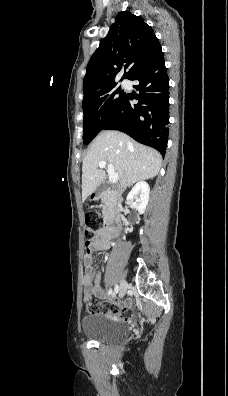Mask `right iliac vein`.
<instances>
[{
	"label": "right iliac vein",
	"instance_id": "1",
	"mask_svg": "<svg viewBox=\"0 0 228 396\" xmlns=\"http://www.w3.org/2000/svg\"><path fill=\"white\" fill-rule=\"evenodd\" d=\"M126 290H127V282L123 280L119 288V297L122 298L126 294Z\"/></svg>",
	"mask_w": 228,
	"mask_h": 396
}]
</instances>
